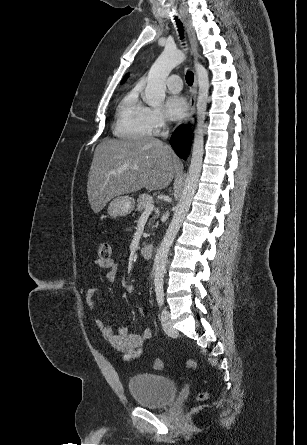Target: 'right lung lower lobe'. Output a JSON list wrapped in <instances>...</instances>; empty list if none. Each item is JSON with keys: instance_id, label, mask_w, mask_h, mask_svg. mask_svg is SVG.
Wrapping results in <instances>:
<instances>
[{"instance_id": "obj_1", "label": "right lung lower lobe", "mask_w": 307, "mask_h": 445, "mask_svg": "<svg viewBox=\"0 0 307 445\" xmlns=\"http://www.w3.org/2000/svg\"><path fill=\"white\" fill-rule=\"evenodd\" d=\"M190 132L188 128L183 126L178 127L170 140L171 146L177 153V155L183 159L186 158L189 150H190Z\"/></svg>"}]
</instances>
